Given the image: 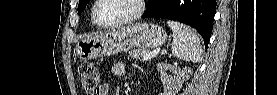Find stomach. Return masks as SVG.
<instances>
[{
    "label": "stomach",
    "mask_w": 277,
    "mask_h": 95,
    "mask_svg": "<svg viewBox=\"0 0 277 95\" xmlns=\"http://www.w3.org/2000/svg\"><path fill=\"white\" fill-rule=\"evenodd\" d=\"M166 38L165 31L157 24H130L80 40L75 47V56L82 61L126 52L135 47L156 48L164 44Z\"/></svg>",
    "instance_id": "1"
}]
</instances>
